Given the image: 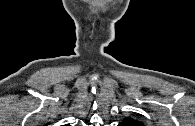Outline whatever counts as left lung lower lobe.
<instances>
[{
	"label": "left lung lower lobe",
	"instance_id": "0a47b994",
	"mask_svg": "<svg viewBox=\"0 0 195 126\" xmlns=\"http://www.w3.org/2000/svg\"><path fill=\"white\" fill-rule=\"evenodd\" d=\"M118 126H128L126 123L122 122Z\"/></svg>",
	"mask_w": 195,
	"mask_h": 126
}]
</instances>
